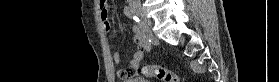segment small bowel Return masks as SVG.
I'll list each match as a JSON object with an SVG mask.
<instances>
[{
    "mask_svg": "<svg viewBox=\"0 0 279 82\" xmlns=\"http://www.w3.org/2000/svg\"><path fill=\"white\" fill-rule=\"evenodd\" d=\"M99 7L101 9V17L102 23L105 30L109 31L112 29V24L108 20L107 13V1L100 0ZM133 41L137 47V50L134 52L132 59L130 61V65L127 68L119 69L118 75L120 78H128L133 76L138 71L141 62L144 58L145 50H146V41L142 35L141 29L138 26L132 27ZM113 61L115 64H119L121 61V54L119 52H115L113 54Z\"/></svg>",
    "mask_w": 279,
    "mask_h": 82,
    "instance_id": "obj_1",
    "label": "small bowel"
}]
</instances>
